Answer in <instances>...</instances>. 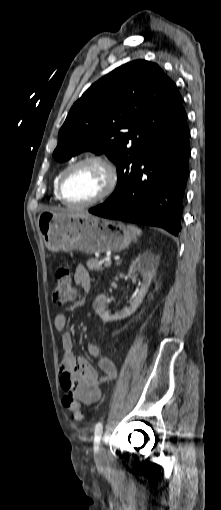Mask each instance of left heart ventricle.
Here are the masks:
<instances>
[{
    "label": "left heart ventricle",
    "mask_w": 221,
    "mask_h": 510,
    "mask_svg": "<svg viewBox=\"0 0 221 510\" xmlns=\"http://www.w3.org/2000/svg\"><path fill=\"white\" fill-rule=\"evenodd\" d=\"M106 173L94 163L74 168L66 177L64 195L69 202L82 203L96 197L104 188Z\"/></svg>",
    "instance_id": "1"
}]
</instances>
